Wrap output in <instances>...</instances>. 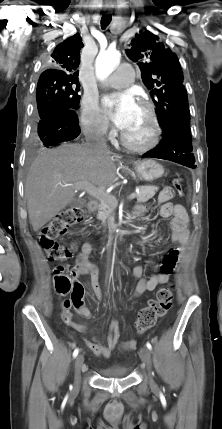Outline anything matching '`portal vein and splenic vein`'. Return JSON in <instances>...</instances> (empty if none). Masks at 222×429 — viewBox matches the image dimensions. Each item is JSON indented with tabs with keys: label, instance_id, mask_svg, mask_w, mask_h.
Masks as SVG:
<instances>
[{
	"label": "portal vein and splenic vein",
	"instance_id": "1",
	"mask_svg": "<svg viewBox=\"0 0 222 429\" xmlns=\"http://www.w3.org/2000/svg\"><path fill=\"white\" fill-rule=\"evenodd\" d=\"M66 186H72L77 190H84L86 191L89 195L101 200L103 198H109L111 201H115L117 202L115 197L109 196L107 193H105V190L102 188H97L94 185L90 184L87 181H81L78 182L76 184H68ZM136 197L135 193H132L128 196V198L130 200L134 199Z\"/></svg>",
	"mask_w": 222,
	"mask_h": 429
}]
</instances>
